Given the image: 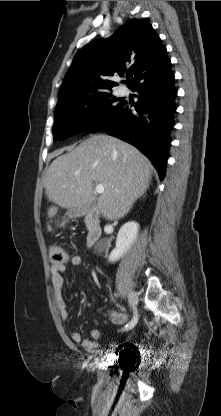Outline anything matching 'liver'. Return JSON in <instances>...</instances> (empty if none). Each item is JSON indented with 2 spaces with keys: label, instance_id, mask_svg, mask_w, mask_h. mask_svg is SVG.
I'll use <instances>...</instances> for the list:
<instances>
[{
  "label": "liver",
  "instance_id": "liver-1",
  "mask_svg": "<svg viewBox=\"0 0 221 416\" xmlns=\"http://www.w3.org/2000/svg\"><path fill=\"white\" fill-rule=\"evenodd\" d=\"M152 164L137 148L112 136L92 135L70 152L58 156L44 177L45 194L60 207L87 206L93 199L94 183L104 192L97 207L107 220L123 218L149 187ZM58 208L51 206L48 217Z\"/></svg>",
  "mask_w": 221,
  "mask_h": 416
}]
</instances>
